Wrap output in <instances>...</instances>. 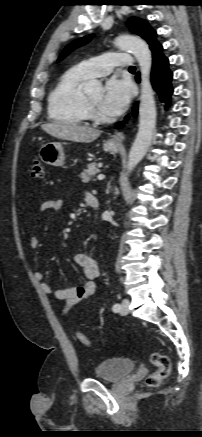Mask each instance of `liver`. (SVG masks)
Returning <instances> with one entry per match:
<instances>
[{
    "label": "liver",
    "mask_w": 202,
    "mask_h": 437,
    "mask_svg": "<svg viewBox=\"0 0 202 437\" xmlns=\"http://www.w3.org/2000/svg\"><path fill=\"white\" fill-rule=\"evenodd\" d=\"M47 134L62 140L90 143L96 140L101 131L75 123L55 121L41 125Z\"/></svg>",
    "instance_id": "obj_1"
}]
</instances>
